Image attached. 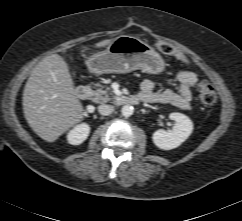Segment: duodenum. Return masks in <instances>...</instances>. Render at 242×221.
<instances>
[{
	"label": "duodenum",
	"mask_w": 242,
	"mask_h": 221,
	"mask_svg": "<svg viewBox=\"0 0 242 221\" xmlns=\"http://www.w3.org/2000/svg\"><path fill=\"white\" fill-rule=\"evenodd\" d=\"M76 96L79 100L86 101L91 96V91L86 86H79L76 89ZM143 101L141 96H123L118 99L119 105H136Z\"/></svg>",
	"instance_id": "obj_1"
}]
</instances>
